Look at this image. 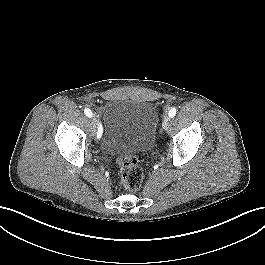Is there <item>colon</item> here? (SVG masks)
Here are the masks:
<instances>
[{
	"mask_svg": "<svg viewBox=\"0 0 265 265\" xmlns=\"http://www.w3.org/2000/svg\"><path fill=\"white\" fill-rule=\"evenodd\" d=\"M121 183L127 190H138L143 182L144 171L136 156L123 157L117 160Z\"/></svg>",
	"mask_w": 265,
	"mask_h": 265,
	"instance_id": "1",
	"label": "colon"
}]
</instances>
